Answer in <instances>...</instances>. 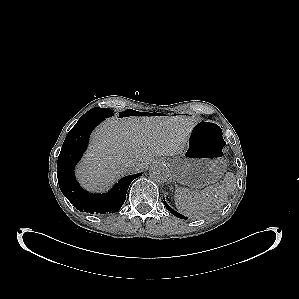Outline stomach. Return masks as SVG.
Listing matches in <instances>:
<instances>
[{"instance_id":"obj_1","label":"stomach","mask_w":299,"mask_h":299,"mask_svg":"<svg viewBox=\"0 0 299 299\" xmlns=\"http://www.w3.org/2000/svg\"><path fill=\"white\" fill-rule=\"evenodd\" d=\"M226 147L216 122L198 121L191 130L188 146L170 160L175 180L191 188L215 183L226 171Z\"/></svg>"}]
</instances>
